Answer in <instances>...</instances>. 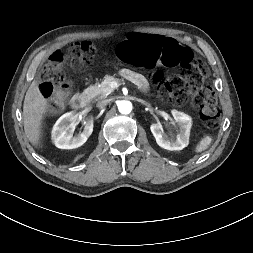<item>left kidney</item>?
I'll use <instances>...</instances> for the list:
<instances>
[{
  "label": "left kidney",
  "instance_id": "obj_1",
  "mask_svg": "<svg viewBox=\"0 0 253 253\" xmlns=\"http://www.w3.org/2000/svg\"><path fill=\"white\" fill-rule=\"evenodd\" d=\"M172 115L178 126V134L176 136L164 135L161 123L152 124L150 129L160 147L169 151H179L189 143L192 120L190 116L177 110H172Z\"/></svg>",
  "mask_w": 253,
  "mask_h": 253
}]
</instances>
